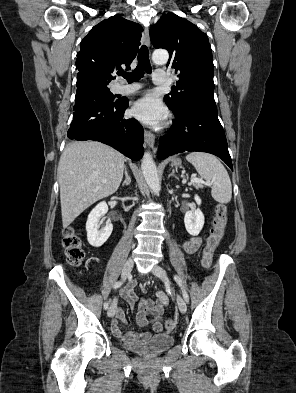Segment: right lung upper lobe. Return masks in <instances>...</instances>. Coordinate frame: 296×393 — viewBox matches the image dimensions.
<instances>
[{"instance_id":"right-lung-upper-lobe-1","label":"right lung upper lobe","mask_w":296,"mask_h":393,"mask_svg":"<svg viewBox=\"0 0 296 393\" xmlns=\"http://www.w3.org/2000/svg\"><path fill=\"white\" fill-rule=\"evenodd\" d=\"M143 28L114 15L94 26L81 41L77 54L78 75L107 82L115 79L116 70L130 64L136 57Z\"/></svg>"}]
</instances>
